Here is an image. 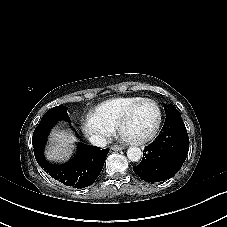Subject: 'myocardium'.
Returning a JSON list of instances; mask_svg holds the SVG:
<instances>
[{"label":"myocardium","instance_id":"1","mask_svg":"<svg viewBox=\"0 0 227 227\" xmlns=\"http://www.w3.org/2000/svg\"><path fill=\"white\" fill-rule=\"evenodd\" d=\"M145 104L153 105L156 108V111H157V121H156V124H155L152 132L150 134H148L147 136H143V137H135V136H132V135H125L124 134V127H125L126 123L130 119L132 114L139 107H141L142 105H145ZM160 123H161V110H160L159 105L155 101H152V100H142V101L138 102L137 104L133 105L131 108H129L125 112V114L122 116V118H121V120L118 124L117 130H118L119 135L127 136V139L129 141H132V142H135V143H143V142L150 140L151 138H153L155 136V134L157 133V131L160 127Z\"/></svg>","mask_w":227,"mask_h":227}]
</instances>
